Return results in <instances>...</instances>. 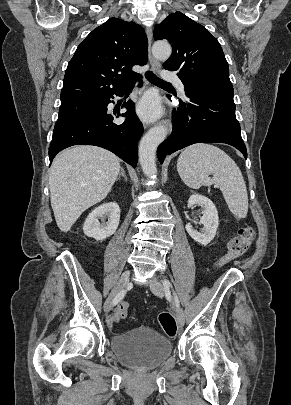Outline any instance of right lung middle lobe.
I'll return each instance as SVG.
<instances>
[{
	"label": "right lung middle lobe",
	"instance_id": "dd1d6c3e",
	"mask_svg": "<svg viewBox=\"0 0 291 405\" xmlns=\"http://www.w3.org/2000/svg\"><path fill=\"white\" fill-rule=\"evenodd\" d=\"M102 99L77 100L61 103L59 117L55 127L63 125L73 119L95 112L102 108Z\"/></svg>",
	"mask_w": 291,
	"mask_h": 405
}]
</instances>
